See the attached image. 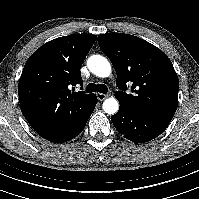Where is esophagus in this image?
Returning <instances> with one entry per match:
<instances>
[{"label": "esophagus", "instance_id": "esophagus-1", "mask_svg": "<svg viewBox=\"0 0 199 199\" xmlns=\"http://www.w3.org/2000/svg\"><path fill=\"white\" fill-rule=\"evenodd\" d=\"M96 96H97L98 100L102 101V100L106 99L109 96V94L96 93Z\"/></svg>", "mask_w": 199, "mask_h": 199}]
</instances>
